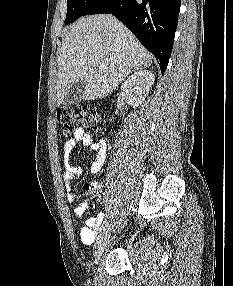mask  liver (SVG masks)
Returning a JSON list of instances; mask_svg holds the SVG:
<instances>
[{"mask_svg":"<svg viewBox=\"0 0 233 286\" xmlns=\"http://www.w3.org/2000/svg\"><path fill=\"white\" fill-rule=\"evenodd\" d=\"M151 64L152 55L113 15L82 17L70 26L58 51L57 106L78 81L86 85L82 100L104 98L130 73Z\"/></svg>","mask_w":233,"mask_h":286,"instance_id":"obj_1","label":"liver"}]
</instances>
